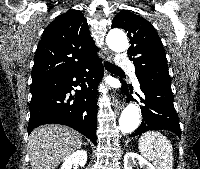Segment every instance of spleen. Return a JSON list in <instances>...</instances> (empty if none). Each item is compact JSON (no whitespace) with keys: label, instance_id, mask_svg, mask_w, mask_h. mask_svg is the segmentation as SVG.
<instances>
[{"label":"spleen","instance_id":"obj_1","mask_svg":"<svg viewBox=\"0 0 200 169\" xmlns=\"http://www.w3.org/2000/svg\"><path fill=\"white\" fill-rule=\"evenodd\" d=\"M142 156L151 161L156 169H173V148L166 136L157 131L144 133L138 144Z\"/></svg>","mask_w":200,"mask_h":169}]
</instances>
